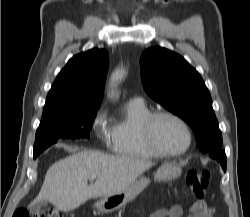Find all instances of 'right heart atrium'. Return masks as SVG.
<instances>
[{"instance_id":"1","label":"right heart atrium","mask_w":250,"mask_h":217,"mask_svg":"<svg viewBox=\"0 0 250 217\" xmlns=\"http://www.w3.org/2000/svg\"><path fill=\"white\" fill-rule=\"evenodd\" d=\"M107 119H108V113L106 108L100 107L96 111L92 120L93 129L98 139L102 141L104 144L111 143V131Z\"/></svg>"}]
</instances>
